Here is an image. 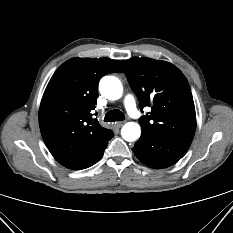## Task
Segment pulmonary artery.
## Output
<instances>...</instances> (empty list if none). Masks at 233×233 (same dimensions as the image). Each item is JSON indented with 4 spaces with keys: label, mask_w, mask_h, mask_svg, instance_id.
I'll use <instances>...</instances> for the list:
<instances>
[{
    "label": "pulmonary artery",
    "mask_w": 233,
    "mask_h": 233,
    "mask_svg": "<svg viewBox=\"0 0 233 233\" xmlns=\"http://www.w3.org/2000/svg\"><path fill=\"white\" fill-rule=\"evenodd\" d=\"M123 104L131 117L139 118L141 116L140 112L136 107V103L132 95H126L123 99Z\"/></svg>",
    "instance_id": "obj_1"
}]
</instances>
